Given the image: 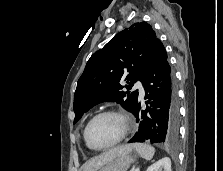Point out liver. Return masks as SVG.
I'll return each mask as SVG.
<instances>
[{
	"mask_svg": "<svg viewBox=\"0 0 223 171\" xmlns=\"http://www.w3.org/2000/svg\"><path fill=\"white\" fill-rule=\"evenodd\" d=\"M134 148L133 144H126L112 148L99 156H96L88 160L83 167V171H97L105 164L113 161L116 157L120 155L129 154Z\"/></svg>",
	"mask_w": 223,
	"mask_h": 171,
	"instance_id": "liver-1",
	"label": "liver"
}]
</instances>
